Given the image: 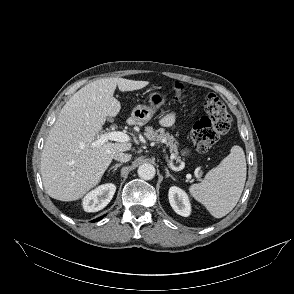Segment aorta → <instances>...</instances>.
Segmentation results:
<instances>
[{"mask_svg": "<svg viewBox=\"0 0 294 294\" xmlns=\"http://www.w3.org/2000/svg\"><path fill=\"white\" fill-rule=\"evenodd\" d=\"M138 176L144 180H151L154 178L156 170L152 164H142L137 170Z\"/></svg>", "mask_w": 294, "mask_h": 294, "instance_id": "aorta-1", "label": "aorta"}]
</instances>
